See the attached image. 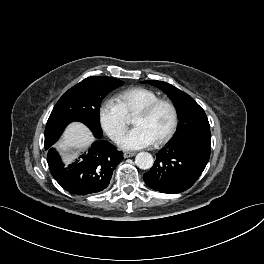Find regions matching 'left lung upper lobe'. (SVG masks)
I'll use <instances>...</instances> for the list:
<instances>
[{
    "label": "left lung upper lobe",
    "mask_w": 264,
    "mask_h": 264,
    "mask_svg": "<svg viewBox=\"0 0 264 264\" xmlns=\"http://www.w3.org/2000/svg\"><path fill=\"white\" fill-rule=\"evenodd\" d=\"M158 87L173 101L179 117V126L173 140H181L200 131H210L204 110L185 92L163 81H144Z\"/></svg>",
    "instance_id": "obj_1"
}]
</instances>
